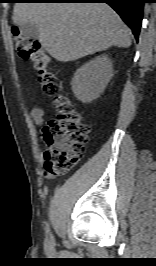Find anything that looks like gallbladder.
<instances>
[{
    "instance_id": "obj_1",
    "label": "gallbladder",
    "mask_w": 156,
    "mask_h": 266,
    "mask_svg": "<svg viewBox=\"0 0 156 266\" xmlns=\"http://www.w3.org/2000/svg\"><path fill=\"white\" fill-rule=\"evenodd\" d=\"M21 31L27 38L36 39L39 36V30L35 24H25L21 27Z\"/></svg>"
}]
</instances>
